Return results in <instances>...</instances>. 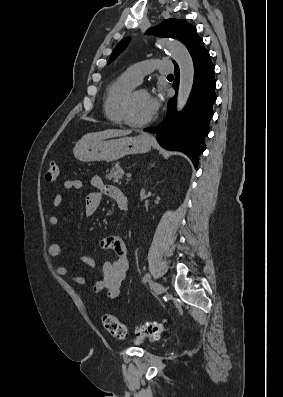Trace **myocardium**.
<instances>
[{
  "label": "myocardium",
  "mask_w": 283,
  "mask_h": 397,
  "mask_svg": "<svg viewBox=\"0 0 283 397\" xmlns=\"http://www.w3.org/2000/svg\"><path fill=\"white\" fill-rule=\"evenodd\" d=\"M138 91H145L144 89H137L134 88L132 89L124 98L123 103H122V107H121V114H122V118L125 124L131 126V127H144L146 125H148L149 123L152 122L153 117H150L147 120L144 121H135L132 116H131V106H132V101L134 99L135 94Z\"/></svg>",
  "instance_id": "f54148a6"
}]
</instances>
